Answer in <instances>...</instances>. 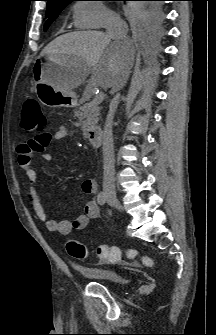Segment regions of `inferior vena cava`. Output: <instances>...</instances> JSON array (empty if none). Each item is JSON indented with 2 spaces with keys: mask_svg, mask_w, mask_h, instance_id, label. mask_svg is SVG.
I'll return each instance as SVG.
<instances>
[{
  "mask_svg": "<svg viewBox=\"0 0 216 335\" xmlns=\"http://www.w3.org/2000/svg\"><path fill=\"white\" fill-rule=\"evenodd\" d=\"M128 26L118 15L112 14L108 17L106 22V35L113 40L123 41L127 40ZM130 74L129 66L122 69L119 74V88H122ZM118 88V89H119ZM120 94L117 93L113 98L110 110L106 117V122L103 132V189L115 191V159H114V144L112 123L115 110L118 106Z\"/></svg>",
  "mask_w": 216,
  "mask_h": 335,
  "instance_id": "obj_1",
  "label": "inferior vena cava"
}]
</instances>
